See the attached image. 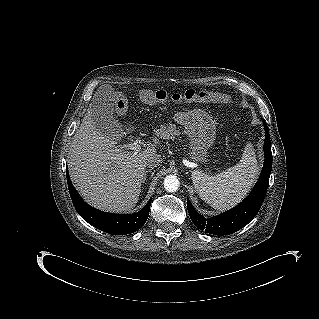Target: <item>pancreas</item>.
Instances as JSON below:
<instances>
[{
  "label": "pancreas",
  "mask_w": 319,
  "mask_h": 319,
  "mask_svg": "<svg viewBox=\"0 0 319 319\" xmlns=\"http://www.w3.org/2000/svg\"><path fill=\"white\" fill-rule=\"evenodd\" d=\"M155 134L160 138L173 139L175 136H178L180 132L176 130L174 124L167 123L161 125V127L155 131Z\"/></svg>",
  "instance_id": "cf45deb5"
}]
</instances>
